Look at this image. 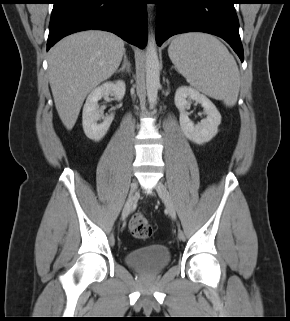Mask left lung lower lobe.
Wrapping results in <instances>:
<instances>
[{
    "mask_svg": "<svg viewBox=\"0 0 290 321\" xmlns=\"http://www.w3.org/2000/svg\"><path fill=\"white\" fill-rule=\"evenodd\" d=\"M236 0H155L156 40L160 46L169 37L186 32H205L223 38L243 62Z\"/></svg>",
    "mask_w": 290,
    "mask_h": 321,
    "instance_id": "obj_1",
    "label": "left lung lower lobe"
}]
</instances>
